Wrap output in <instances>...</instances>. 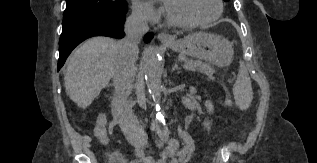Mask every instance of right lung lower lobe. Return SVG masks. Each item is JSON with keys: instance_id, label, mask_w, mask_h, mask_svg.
Here are the masks:
<instances>
[{"instance_id": "right-lung-lower-lobe-1", "label": "right lung lower lobe", "mask_w": 317, "mask_h": 163, "mask_svg": "<svg viewBox=\"0 0 317 163\" xmlns=\"http://www.w3.org/2000/svg\"><path fill=\"white\" fill-rule=\"evenodd\" d=\"M125 14H99L67 27H63L59 40L58 70L64 65L71 51L82 41L92 36L122 38ZM153 35L147 34L146 41Z\"/></svg>"}]
</instances>
